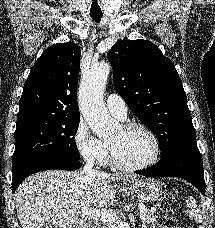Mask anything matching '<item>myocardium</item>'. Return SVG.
Here are the masks:
<instances>
[{
  "label": "myocardium",
  "mask_w": 215,
  "mask_h": 228,
  "mask_svg": "<svg viewBox=\"0 0 215 228\" xmlns=\"http://www.w3.org/2000/svg\"><path fill=\"white\" fill-rule=\"evenodd\" d=\"M121 127L125 130H129V129H133V128H140V129L144 130L151 140L152 151H151V154L149 155V157L144 162L137 164V165H125V164H122L117 159L113 146L108 142V149H109V156H110L111 164L115 168H117L121 171H124V172L140 171V170L147 168L151 164H153L159 156L160 144H159L158 137H157L156 133L152 130V128L142 122H137V121L126 122Z\"/></svg>",
  "instance_id": "1"
}]
</instances>
